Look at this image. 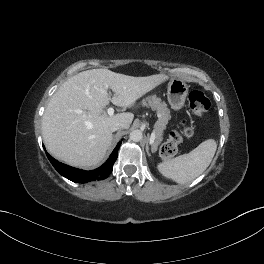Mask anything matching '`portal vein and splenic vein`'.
Listing matches in <instances>:
<instances>
[{
    "instance_id": "portal-vein-and-splenic-vein-1",
    "label": "portal vein and splenic vein",
    "mask_w": 264,
    "mask_h": 264,
    "mask_svg": "<svg viewBox=\"0 0 264 264\" xmlns=\"http://www.w3.org/2000/svg\"><path fill=\"white\" fill-rule=\"evenodd\" d=\"M107 113H108L109 116H112L114 114V109L112 107H109L107 109ZM155 136H156V133H155V130H153L152 133H151V138H150V142L151 143L154 142Z\"/></svg>"
}]
</instances>
